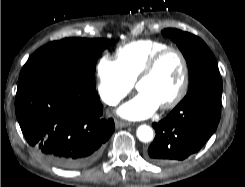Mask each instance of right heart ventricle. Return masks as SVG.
Returning <instances> with one entry per match:
<instances>
[{
    "label": "right heart ventricle",
    "mask_w": 245,
    "mask_h": 187,
    "mask_svg": "<svg viewBox=\"0 0 245 187\" xmlns=\"http://www.w3.org/2000/svg\"><path fill=\"white\" fill-rule=\"evenodd\" d=\"M168 46L165 42L153 39L130 41L116 49L115 60L126 79L133 84L149 58Z\"/></svg>",
    "instance_id": "right-heart-ventricle-1"
}]
</instances>
